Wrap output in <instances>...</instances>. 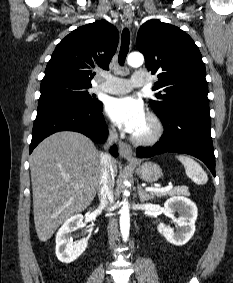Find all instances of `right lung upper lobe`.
Listing matches in <instances>:
<instances>
[{
	"label": "right lung upper lobe",
	"instance_id": "1",
	"mask_svg": "<svg viewBox=\"0 0 233 283\" xmlns=\"http://www.w3.org/2000/svg\"><path fill=\"white\" fill-rule=\"evenodd\" d=\"M118 41V30L106 20L77 28L56 46L41 82L66 80L91 86L95 70L109 69Z\"/></svg>",
	"mask_w": 233,
	"mask_h": 283
}]
</instances>
